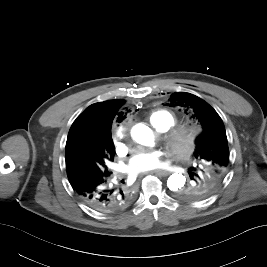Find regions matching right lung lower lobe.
Here are the masks:
<instances>
[{"label":"right lung lower lobe","instance_id":"98d812e1","mask_svg":"<svg viewBox=\"0 0 267 267\" xmlns=\"http://www.w3.org/2000/svg\"><path fill=\"white\" fill-rule=\"evenodd\" d=\"M73 190L91 208L114 213L125 209L134 199L131 189L114 188L111 174L107 176L83 175L70 182Z\"/></svg>","mask_w":267,"mask_h":267}]
</instances>
